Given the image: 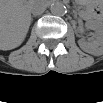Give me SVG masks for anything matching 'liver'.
<instances>
[{"mask_svg":"<svg viewBox=\"0 0 103 103\" xmlns=\"http://www.w3.org/2000/svg\"><path fill=\"white\" fill-rule=\"evenodd\" d=\"M31 5V2L24 0L1 2V50H12L24 41L31 24Z\"/></svg>","mask_w":103,"mask_h":103,"instance_id":"liver-1","label":"liver"}]
</instances>
